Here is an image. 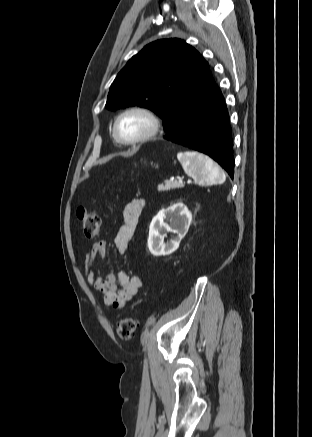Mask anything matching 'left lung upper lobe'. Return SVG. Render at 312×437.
<instances>
[{
	"mask_svg": "<svg viewBox=\"0 0 312 437\" xmlns=\"http://www.w3.org/2000/svg\"><path fill=\"white\" fill-rule=\"evenodd\" d=\"M214 86L207 62L194 48L180 39H163L127 62L110 86L105 107L149 108L171 135Z\"/></svg>",
	"mask_w": 312,
	"mask_h": 437,
	"instance_id": "obj_1",
	"label": "left lung upper lobe"
}]
</instances>
